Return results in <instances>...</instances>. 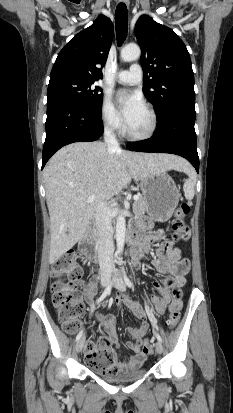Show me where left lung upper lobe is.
<instances>
[{"mask_svg": "<svg viewBox=\"0 0 233 413\" xmlns=\"http://www.w3.org/2000/svg\"><path fill=\"white\" fill-rule=\"evenodd\" d=\"M135 35L142 49L144 90L159 116L178 108L195 113L194 74L183 41L147 15L138 19Z\"/></svg>", "mask_w": 233, "mask_h": 413, "instance_id": "obj_1", "label": "left lung upper lobe"}]
</instances>
